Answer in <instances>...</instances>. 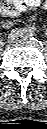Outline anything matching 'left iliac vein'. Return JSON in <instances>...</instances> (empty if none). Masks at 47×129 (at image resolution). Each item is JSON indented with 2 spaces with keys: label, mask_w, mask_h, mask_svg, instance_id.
I'll use <instances>...</instances> for the list:
<instances>
[{
  "label": "left iliac vein",
  "mask_w": 47,
  "mask_h": 129,
  "mask_svg": "<svg viewBox=\"0 0 47 129\" xmlns=\"http://www.w3.org/2000/svg\"><path fill=\"white\" fill-rule=\"evenodd\" d=\"M34 36V33L33 32H27V31H24L23 35H22V39H28V38H31Z\"/></svg>",
  "instance_id": "left-iliac-vein-1"
}]
</instances>
